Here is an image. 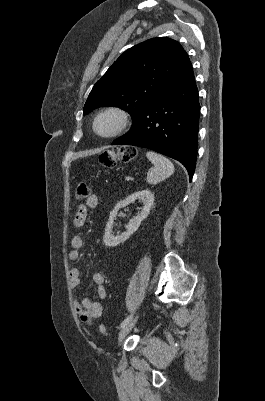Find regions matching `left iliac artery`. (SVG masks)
Here are the masks:
<instances>
[{"label":"left iliac artery","mask_w":265,"mask_h":401,"mask_svg":"<svg viewBox=\"0 0 265 401\" xmlns=\"http://www.w3.org/2000/svg\"><path fill=\"white\" fill-rule=\"evenodd\" d=\"M133 317V313L130 314L129 316H127V318H125L121 324H120V328H123L127 323H129V321L132 319Z\"/></svg>","instance_id":"44dca946"}]
</instances>
